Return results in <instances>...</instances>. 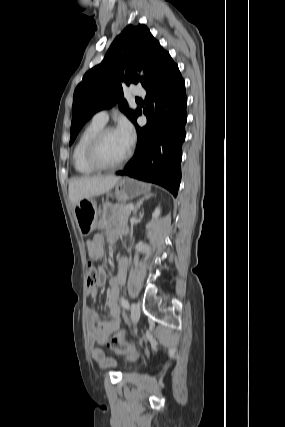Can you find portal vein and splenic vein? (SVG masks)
Segmentation results:
<instances>
[{
    "instance_id": "1",
    "label": "portal vein and splenic vein",
    "mask_w": 285,
    "mask_h": 427,
    "mask_svg": "<svg viewBox=\"0 0 285 427\" xmlns=\"http://www.w3.org/2000/svg\"><path fill=\"white\" fill-rule=\"evenodd\" d=\"M127 208H128V210H130V211L134 209V207H133L132 205H129Z\"/></svg>"
}]
</instances>
